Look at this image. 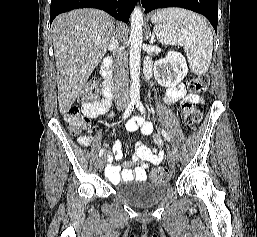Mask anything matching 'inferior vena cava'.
I'll return each mask as SVG.
<instances>
[{
	"label": "inferior vena cava",
	"instance_id": "inferior-vena-cava-1",
	"mask_svg": "<svg viewBox=\"0 0 257 237\" xmlns=\"http://www.w3.org/2000/svg\"><path fill=\"white\" fill-rule=\"evenodd\" d=\"M109 47L113 50L114 57V98L117 104L129 102L128 93V59L127 52L119 45L115 33L113 34Z\"/></svg>",
	"mask_w": 257,
	"mask_h": 237
}]
</instances>
